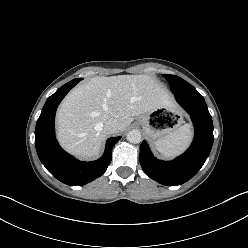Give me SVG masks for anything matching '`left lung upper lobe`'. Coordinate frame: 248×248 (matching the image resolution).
Listing matches in <instances>:
<instances>
[{"instance_id":"obj_1","label":"left lung upper lobe","mask_w":248,"mask_h":248,"mask_svg":"<svg viewBox=\"0 0 248 248\" xmlns=\"http://www.w3.org/2000/svg\"><path fill=\"white\" fill-rule=\"evenodd\" d=\"M169 82L171 86V91L174 94H185V93H195L197 90L188 82L183 80L182 78L175 76L164 74L163 75Z\"/></svg>"}]
</instances>
